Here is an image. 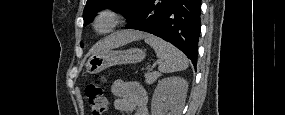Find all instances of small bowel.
I'll list each match as a JSON object with an SVG mask.
<instances>
[{"mask_svg": "<svg viewBox=\"0 0 285 115\" xmlns=\"http://www.w3.org/2000/svg\"><path fill=\"white\" fill-rule=\"evenodd\" d=\"M116 96L114 106L121 114L148 115V95L137 82L117 79L112 84Z\"/></svg>", "mask_w": 285, "mask_h": 115, "instance_id": "c3829d8e", "label": "small bowel"}]
</instances>
